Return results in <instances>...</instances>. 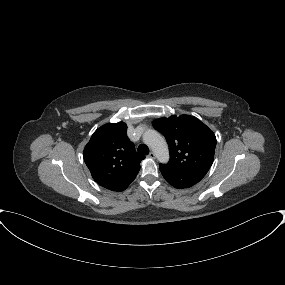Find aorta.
<instances>
[{"instance_id":"1","label":"aorta","mask_w":285,"mask_h":285,"mask_svg":"<svg viewBox=\"0 0 285 285\" xmlns=\"http://www.w3.org/2000/svg\"><path fill=\"white\" fill-rule=\"evenodd\" d=\"M144 143L153 151L156 158L161 163H167L169 160L168 145L165 139L155 130H147L143 134Z\"/></svg>"}]
</instances>
